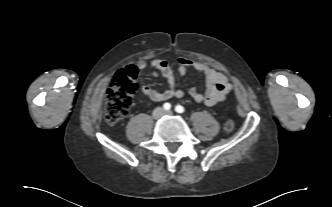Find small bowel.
Instances as JSON below:
<instances>
[{"mask_svg": "<svg viewBox=\"0 0 332 207\" xmlns=\"http://www.w3.org/2000/svg\"><path fill=\"white\" fill-rule=\"evenodd\" d=\"M155 71L154 76H162L166 79V89L158 91L148 85L142 86V93L152 101H163L172 97L181 98L184 95L182 90L176 88L175 76L169 63L163 59H155L152 61ZM135 67L144 70L147 67L146 62L139 60L135 63ZM188 69H194L201 73L205 78V91L199 92L195 88L189 90V95L198 103L207 106H214L222 103L232 89V85L228 78L210 66L197 62L188 58H180L178 60V74L184 76Z\"/></svg>", "mask_w": 332, "mask_h": 207, "instance_id": "small-bowel-1", "label": "small bowel"}]
</instances>
